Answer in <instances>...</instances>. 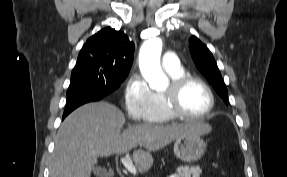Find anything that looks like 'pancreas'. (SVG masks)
I'll list each match as a JSON object with an SVG mask.
<instances>
[{"mask_svg":"<svg viewBox=\"0 0 287 177\" xmlns=\"http://www.w3.org/2000/svg\"><path fill=\"white\" fill-rule=\"evenodd\" d=\"M202 170L198 166H179L177 168L178 177H200Z\"/></svg>","mask_w":287,"mask_h":177,"instance_id":"obj_1","label":"pancreas"}]
</instances>
